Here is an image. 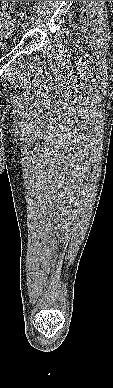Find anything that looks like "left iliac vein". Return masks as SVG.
I'll return each instance as SVG.
<instances>
[{
  "instance_id": "obj_1",
  "label": "left iliac vein",
  "mask_w": 113,
  "mask_h": 388,
  "mask_svg": "<svg viewBox=\"0 0 113 388\" xmlns=\"http://www.w3.org/2000/svg\"><path fill=\"white\" fill-rule=\"evenodd\" d=\"M28 28H29L28 23H24V24H22V26H21V29H22L23 32H26V31L28 30Z\"/></svg>"
}]
</instances>
